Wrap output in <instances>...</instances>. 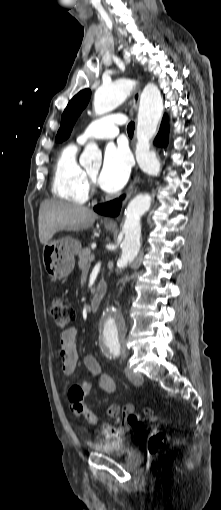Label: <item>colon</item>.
I'll return each mask as SVG.
<instances>
[{"mask_svg":"<svg viewBox=\"0 0 221 510\" xmlns=\"http://www.w3.org/2000/svg\"><path fill=\"white\" fill-rule=\"evenodd\" d=\"M51 316L57 326V328L61 331H66L70 324L73 322L75 318V312L73 308L69 305L61 301L60 299H55L52 301L50 306ZM77 389V386L74 387ZM84 392L81 391L80 395H83ZM108 415L116 414L117 411L113 408L108 409ZM85 417L91 424H99L98 420L89 410L85 411ZM156 417L150 412L144 413H129L126 417L127 423L131 427H138L143 423H152L154 422ZM103 431L109 432V428L106 426L102 427ZM168 442V435L165 432L159 431L154 433L149 441H148V451L150 454H155L160 451Z\"/></svg>","mask_w":221,"mask_h":510,"instance_id":"colon-1","label":"colon"}]
</instances>
